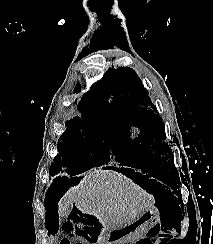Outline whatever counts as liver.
<instances>
[{
    "label": "liver",
    "mask_w": 213,
    "mask_h": 244,
    "mask_svg": "<svg viewBox=\"0 0 213 244\" xmlns=\"http://www.w3.org/2000/svg\"><path fill=\"white\" fill-rule=\"evenodd\" d=\"M73 204L83 213L115 226L152 208L154 200L123 174L98 168L84 173L80 183L60 199L57 206L59 216L66 218Z\"/></svg>",
    "instance_id": "liver-1"
}]
</instances>
